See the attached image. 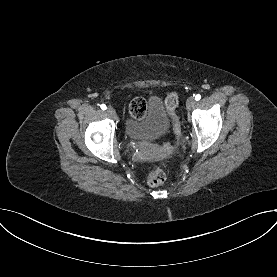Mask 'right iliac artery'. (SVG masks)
Listing matches in <instances>:
<instances>
[{"label": "right iliac artery", "mask_w": 277, "mask_h": 277, "mask_svg": "<svg viewBox=\"0 0 277 277\" xmlns=\"http://www.w3.org/2000/svg\"><path fill=\"white\" fill-rule=\"evenodd\" d=\"M100 107H101L102 110H106V105L105 104H102Z\"/></svg>", "instance_id": "1"}]
</instances>
